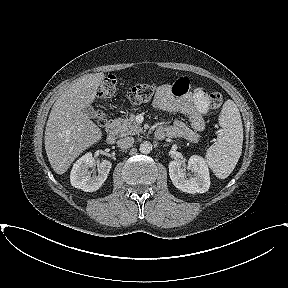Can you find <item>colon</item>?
Here are the masks:
<instances>
[{"label": "colon", "instance_id": "colon-1", "mask_svg": "<svg viewBox=\"0 0 288 288\" xmlns=\"http://www.w3.org/2000/svg\"><path fill=\"white\" fill-rule=\"evenodd\" d=\"M118 92V81L116 77L107 76L99 87L97 96L99 99H107ZM157 92V86L154 84H138L130 87L126 92V99L130 104H141L150 101ZM223 102L222 94L219 91H213L209 95V104L212 109H218ZM99 122L104 123L100 116Z\"/></svg>", "mask_w": 288, "mask_h": 288}]
</instances>
